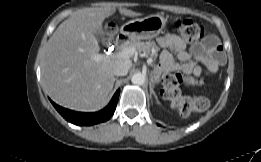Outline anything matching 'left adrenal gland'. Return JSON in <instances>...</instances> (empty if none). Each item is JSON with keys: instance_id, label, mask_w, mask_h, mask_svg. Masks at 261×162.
Masks as SVG:
<instances>
[{"instance_id": "1", "label": "left adrenal gland", "mask_w": 261, "mask_h": 162, "mask_svg": "<svg viewBox=\"0 0 261 162\" xmlns=\"http://www.w3.org/2000/svg\"><path fill=\"white\" fill-rule=\"evenodd\" d=\"M149 87H150V94L152 95H154V97H155V99H156V102H157V104H160V102H159V100H158V97H157V95L155 94V92H154V90H153V87H154V84H153V78L151 77V81H150V83H149Z\"/></svg>"}]
</instances>
